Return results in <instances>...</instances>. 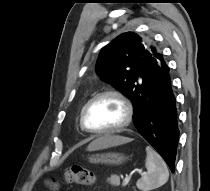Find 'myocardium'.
Masks as SVG:
<instances>
[{"mask_svg": "<svg viewBox=\"0 0 210 191\" xmlns=\"http://www.w3.org/2000/svg\"><path fill=\"white\" fill-rule=\"evenodd\" d=\"M104 97H114L117 100H119L121 102V104L124 107V111H125V116L123 121L112 128H106V129H92L87 125L86 122V116H87V112L90 109V107L99 99L104 98ZM133 119V106L131 101L120 91L117 90H106L103 92H100L96 95H94L83 107L81 114H80V125L82 127V129L88 133L91 134H97V135H101V134H110V133H116V132H120L123 129H125L132 121Z\"/></svg>", "mask_w": 210, "mask_h": 191, "instance_id": "obj_1", "label": "myocardium"}]
</instances>
